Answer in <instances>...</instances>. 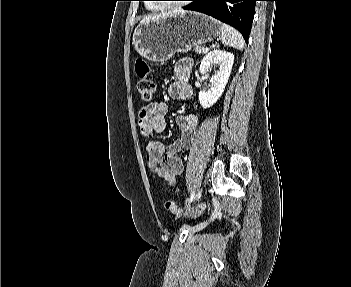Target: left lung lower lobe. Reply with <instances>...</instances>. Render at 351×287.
<instances>
[{"label": "left lung lower lobe", "mask_w": 351, "mask_h": 287, "mask_svg": "<svg viewBox=\"0 0 351 287\" xmlns=\"http://www.w3.org/2000/svg\"><path fill=\"white\" fill-rule=\"evenodd\" d=\"M186 10L210 15L237 28L248 42L257 0H191Z\"/></svg>", "instance_id": "1"}]
</instances>
